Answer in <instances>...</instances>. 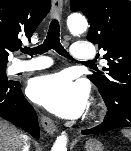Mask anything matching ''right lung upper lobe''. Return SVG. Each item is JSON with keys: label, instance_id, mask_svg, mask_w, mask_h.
<instances>
[{"label": "right lung upper lobe", "instance_id": "right-lung-upper-lobe-1", "mask_svg": "<svg viewBox=\"0 0 131 151\" xmlns=\"http://www.w3.org/2000/svg\"><path fill=\"white\" fill-rule=\"evenodd\" d=\"M50 10V0H0V63L18 51Z\"/></svg>", "mask_w": 131, "mask_h": 151}]
</instances>
